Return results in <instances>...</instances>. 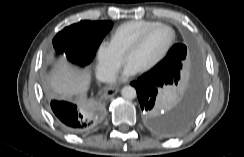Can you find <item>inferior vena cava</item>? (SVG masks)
I'll use <instances>...</instances> for the list:
<instances>
[{
	"label": "inferior vena cava",
	"instance_id": "inferior-vena-cava-1",
	"mask_svg": "<svg viewBox=\"0 0 244 157\" xmlns=\"http://www.w3.org/2000/svg\"><path fill=\"white\" fill-rule=\"evenodd\" d=\"M115 80V75L114 74H110L106 77V81L107 82H112Z\"/></svg>",
	"mask_w": 244,
	"mask_h": 157
}]
</instances>
